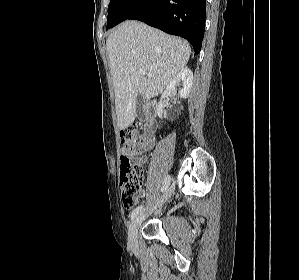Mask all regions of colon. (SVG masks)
I'll return each mask as SVG.
<instances>
[{
    "instance_id": "colon-1",
    "label": "colon",
    "mask_w": 299,
    "mask_h": 280,
    "mask_svg": "<svg viewBox=\"0 0 299 280\" xmlns=\"http://www.w3.org/2000/svg\"><path fill=\"white\" fill-rule=\"evenodd\" d=\"M120 139L123 148H128L141 143L142 134L137 126L132 125L121 131ZM142 183V164L131 160L127 155L123 154L120 160V186L122 202L125 208L131 209L136 205Z\"/></svg>"
}]
</instances>
